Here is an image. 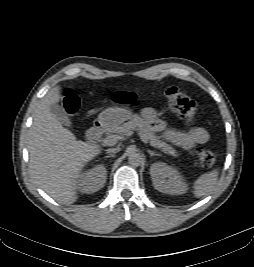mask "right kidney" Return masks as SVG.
I'll list each match as a JSON object with an SVG mask.
<instances>
[{
  "label": "right kidney",
  "mask_w": 254,
  "mask_h": 267,
  "mask_svg": "<svg viewBox=\"0 0 254 267\" xmlns=\"http://www.w3.org/2000/svg\"><path fill=\"white\" fill-rule=\"evenodd\" d=\"M106 179V167L102 164L96 165L80 174L78 179V189L83 193H94L104 187Z\"/></svg>",
  "instance_id": "1"
}]
</instances>
